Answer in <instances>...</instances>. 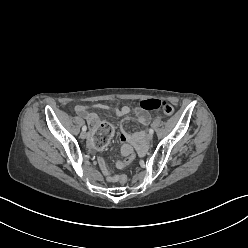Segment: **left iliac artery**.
Returning a JSON list of instances; mask_svg holds the SVG:
<instances>
[{
  "instance_id": "obj_1",
  "label": "left iliac artery",
  "mask_w": 248,
  "mask_h": 248,
  "mask_svg": "<svg viewBox=\"0 0 248 248\" xmlns=\"http://www.w3.org/2000/svg\"><path fill=\"white\" fill-rule=\"evenodd\" d=\"M153 132H154L153 129L150 128L149 133L153 134Z\"/></svg>"
}]
</instances>
